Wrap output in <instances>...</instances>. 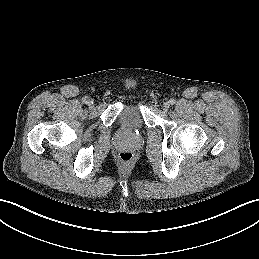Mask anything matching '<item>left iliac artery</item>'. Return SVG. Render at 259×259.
I'll return each mask as SVG.
<instances>
[{"instance_id":"obj_1","label":"left iliac artery","mask_w":259,"mask_h":259,"mask_svg":"<svg viewBox=\"0 0 259 259\" xmlns=\"http://www.w3.org/2000/svg\"><path fill=\"white\" fill-rule=\"evenodd\" d=\"M169 104H171V105L175 104V99H170Z\"/></svg>"}]
</instances>
